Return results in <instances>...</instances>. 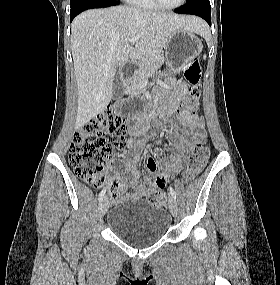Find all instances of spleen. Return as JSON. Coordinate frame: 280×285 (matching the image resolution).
Here are the masks:
<instances>
[{"mask_svg":"<svg viewBox=\"0 0 280 285\" xmlns=\"http://www.w3.org/2000/svg\"><path fill=\"white\" fill-rule=\"evenodd\" d=\"M204 59H206V55H204Z\"/></svg>","mask_w":280,"mask_h":285,"instance_id":"spleen-1","label":"spleen"}]
</instances>
